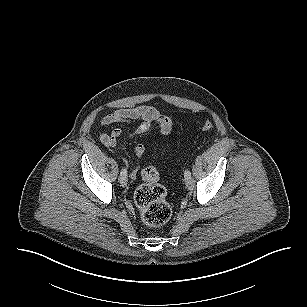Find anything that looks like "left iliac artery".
I'll use <instances>...</instances> for the list:
<instances>
[{
    "label": "left iliac artery",
    "instance_id": "left-iliac-artery-1",
    "mask_svg": "<svg viewBox=\"0 0 307 307\" xmlns=\"http://www.w3.org/2000/svg\"><path fill=\"white\" fill-rule=\"evenodd\" d=\"M189 175H191L190 171H189V170H185V172H184V177H187V176H189Z\"/></svg>",
    "mask_w": 307,
    "mask_h": 307
}]
</instances>
